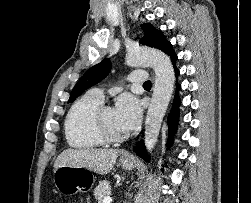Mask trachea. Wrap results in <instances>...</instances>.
<instances>
[{
    "label": "trachea",
    "mask_w": 251,
    "mask_h": 203,
    "mask_svg": "<svg viewBox=\"0 0 251 203\" xmlns=\"http://www.w3.org/2000/svg\"><path fill=\"white\" fill-rule=\"evenodd\" d=\"M143 86H151V81H146Z\"/></svg>",
    "instance_id": "1"
}]
</instances>
